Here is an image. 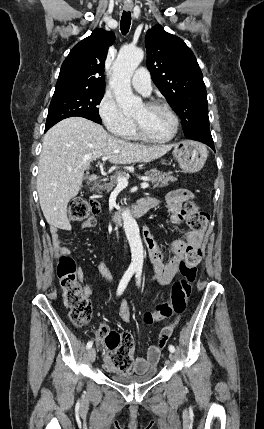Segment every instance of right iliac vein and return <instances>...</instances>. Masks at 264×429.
Here are the masks:
<instances>
[{"label":"right iliac vein","instance_id":"1","mask_svg":"<svg viewBox=\"0 0 264 429\" xmlns=\"http://www.w3.org/2000/svg\"><path fill=\"white\" fill-rule=\"evenodd\" d=\"M96 358V351L94 348L89 349L88 351V359L91 363L95 361Z\"/></svg>","mask_w":264,"mask_h":429}]
</instances>
